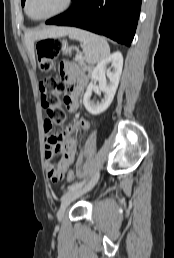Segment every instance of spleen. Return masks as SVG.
<instances>
[{
	"instance_id": "obj_1",
	"label": "spleen",
	"mask_w": 174,
	"mask_h": 258,
	"mask_svg": "<svg viewBox=\"0 0 174 258\" xmlns=\"http://www.w3.org/2000/svg\"><path fill=\"white\" fill-rule=\"evenodd\" d=\"M70 39L78 40L82 43L85 60L89 64H95L110 54V47L104 37L78 28H69Z\"/></svg>"
}]
</instances>
